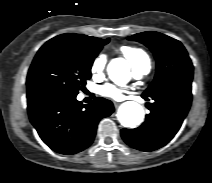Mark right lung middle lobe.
Listing matches in <instances>:
<instances>
[{"mask_svg":"<svg viewBox=\"0 0 212 183\" xmlns=\"http://www.w3.org/2000/svg\"><path fill=\"white\" fill-rule=\"evenodd\" d=\"M109 39L77 42L53 38L37 52L27 76V93L56 91L77 95L91 78V66Z\"/></svg>","mask_w":212,"mask_h":183,"instance_id":"1","label":"right lung middle lobe"}]
</instances>
